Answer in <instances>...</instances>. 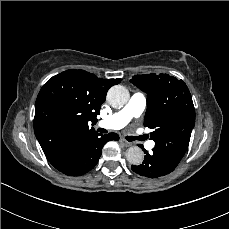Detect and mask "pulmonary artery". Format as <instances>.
<instances>
[{"label": "pulmonary artery", "mask_w": 229, "mask_h": 229, "mask_svg": "<svg viewBox=\"0 0 229 229\" xmlns=\"http://www.w3.org/2000/svg\"><path fill=\"white\" fill-rule=\"evenodd\" d=\"M146 108V97L141 92L134 93L125 106L114 113L109 119L101 120L98 126L118 130L128 124L133 118H138ZM148 150L154 147V142H148L146 145Z\"/></svg>", "instance_id": "1"}]
</instances>
